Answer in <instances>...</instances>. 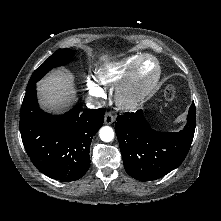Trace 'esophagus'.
I'll list each match as a JSON object with an SVG mask.
<instances>
[{
	"instance_id": "34e87169",
	"label": "esophagus",
	"mask_w": 221,
	"mask_h": 221,
	"mask_svg": "<svg viewBox=\"0 0 221 221\" xmlns=\"http://www.w3.org/2000/svg\"><path fill=\"white\" fill-rule=\"evenodd\" d=\"M115 121V116L111 112H107L104 117L105 124H112Z\"/></svg>"
}]
</instances>
